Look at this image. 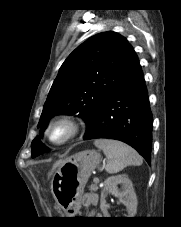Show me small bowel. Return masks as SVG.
Returning a JSON list of instances; mask_svg holds the SVG:
<instances>
[{"instance_id": "1", "label": "small bowel", "mask_w": 181, "mask_h": 227, "mask_svg": "<svg viewBox=\"0 0 181 227\" xmlns=\"http://www.w3.org/2000/svg\"><path fill=\"white\" fill-rule=\"evenodd\" d=\"M99 202V196L96 193H86L83 196V204L85 206H96ZM98 213L95 210H92L89 213L90 217H94L96 216Z\"/></svg>"}]
</instances>
